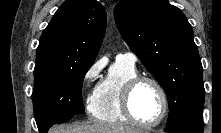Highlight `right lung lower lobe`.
<instances>
[{"label": "right lung lower lobe", "mask_w": 221, "mask_h": 133, "mask_svg": "<svg viewBox=\"0 0 221 133\" xmlns=\"http://www.w3.org/2000/svg\"><path fill=\"white\" fill-rule=\"evenodd\" d=\"M52 125H54V124L52 123V124L47 125V126H46L45 128H43V129H39V132H40V133H47V131L49 130V128H50Z\"/></svg>", "instance_id": "98d812e1"}]
</instances>
